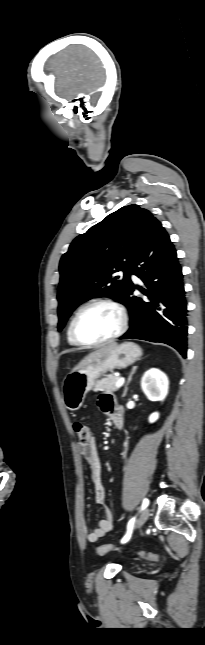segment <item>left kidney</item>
I'll use <instances>...</instances> for the list:
<instances>
[{
    "instance_id": "obj_1",
    "label": "left kidney",
    "mask_w": 205,
    "mask_h": 645,
    "mask_svg": "<svg viewBox=\"0 0 205 645\" xmlns=\"http://www.w3.org/2000/svg\"><path fill=\"white\" fill-rule=\"evenodd\" d=\"M141 387L150 401H163L168 394V377L159 369L151 368L144 373ZM158 418L159 413L154 412L149 416V422L154 423Z\"/></svg>"
}]
</instances>
